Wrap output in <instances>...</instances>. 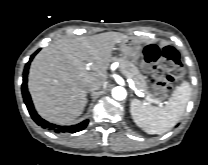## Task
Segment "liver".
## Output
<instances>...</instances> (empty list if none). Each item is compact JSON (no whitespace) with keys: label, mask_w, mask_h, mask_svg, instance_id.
Returning a JSON list of instances; mask_svg holds the SVG:
<instances>
[{"label":"liver","mask_w":208,"mask_h":165,"mask_svg":"<svg viewBox=\"0 0 208 165\" xmlns=\"http://www.w3.org/2000/svg\"><path fill=\"white\" fill-rule=\"evenodd\" d=\"M129 37L106 32L60 39L43 48L31 63L28 88L39 115L67 124L80 116L88 87L106 83L115 44Z\"/></svg>","instance_id":"liver-1"}]
</instances>
